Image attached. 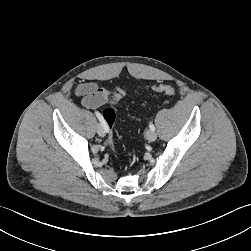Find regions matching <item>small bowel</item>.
Here are the masks:
<instances>
[{"instance_id": "c3829d8e", "label": "small bowel", "mask_w": 251, "mask_h": 251, "mask_svg": "<svg viewBox=\"0 0 251 251\" xmlns=\"http://www.w3.org/2000/svg\"><path fill=\"white\" fill-rule=\"evenodd\" d=\"M120 91V89H117V92ZM76 94L81 98L82 105L87 109H97L113 100V94L95 82H86L78 85Z\"/></svg>"}]
</instances>
